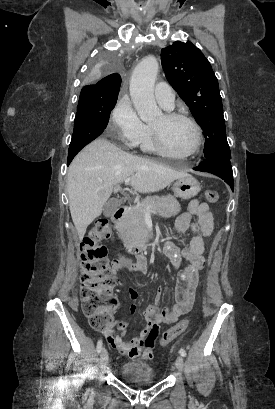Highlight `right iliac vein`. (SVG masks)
<instances>
[{"label":"right iliac vein","mask_w":275,"mask_h":409,"mask_svg":"<svg viewBox=\"0 0 275 409\" xmlns=\"http://www.w3.org/2000/svg\"><path fill=\"white\" fill-rule=\"evenodd\" d=\"M108 358H109L108 352L105 349H103L102 352H101V355H100V366H101V368H105V366L107 365V362H108Z\"/></svg>","instance_id":"1"}]
</instances>
